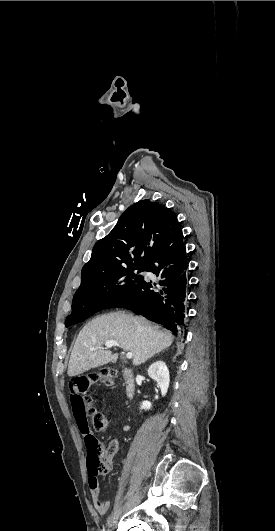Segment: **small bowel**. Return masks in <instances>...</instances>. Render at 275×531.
Listing matches in <instances>:
<instances>
[{"label":"small bowel","instance_id":"small-bowel-1","mask_svg":"<svg viewBox=\"0 0 275 531\" xmlns=\"http://www.w3.org/2000/svg\"><path fill=\"white\" fill-rule=\"evenodd\" d=\"M77 383H78V378L72 377L71 383L68 385V388L72 390L73 394L69 396L68 400H69V403L71 404L70 406H71L73 415L75 417H84L86 414V409H85L86 401L83 398V395H84L83 391L79 390L77 385H74ZM78 426H79L80 432L83 437L84 445L87 450L90 449L94 444L98 443L97 439L92 434V432L89 430L87 425L78 424ZM88 483H89V490H90L92 502L97 512L100 515H104L110 508V502L106 500L102 495L101 485H100V481L98 477L95 479L89 478Z\"/></svg>","mask_w":275,"mask_h":531}]
</instances>
